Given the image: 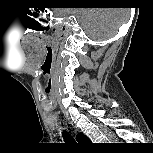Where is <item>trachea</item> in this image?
I'll list each match as a JSON object with an SVG mask.
<instances>
[{
  "label": "trachea",
  "mask_w": 153,
  "mask_h": 153,
  "mask_svg": "<svg viewBox=\"0 0 153 153\" xmlns=\"http://www.w3.org/2000/svg\"><path fill=\"white\" fill-rule=\"evenodd\" d=\"M64 136V140L67 142V143H74V139L71 135L67 134V133H64L63 134Z\"/></svg>",
  "instance_id": "trachea-1"
}]
</instances>
